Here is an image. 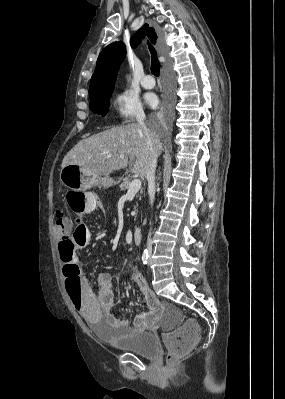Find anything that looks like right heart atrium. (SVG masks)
<instances>
[{"mask_svg": "<svg viewBox=\"0 0 285 399\" xmlns=\"http://www.w3.org/2000/svg\"><path fill=\"white\" fill-rule=\"evenodd\" d=\"M114 107L118 119L122 122H131L145 117L138 97L129 90H123L115 95Z\"/></svg>", "mask_w": 285, "mask_h": 399, "instance_id": "right-heart-atrium-1", "label": "right heart atrium"}]
</instances>
